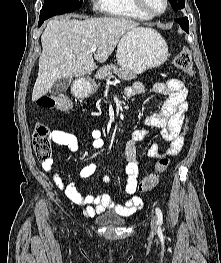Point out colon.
Returning a JSON list of instances; mask_svg holds the SVG:
<instances>
[{
  "instance_id": "colon-1",
  "label": "colon",
  "mask_w": 221,
  "mask_h": 263,
  "mask_svg": "<svg viewBox=\"0 0 221 263\" xmlns=\"http://www.w3.org/2000/svg\"><path fill=\"white\" fill-rule=\"evenodd\" d=\"M173 64L176 68L187 74H192L193 67L190 52L186 49L179 50L174 58ZM37 105L45 109H55L63 112L71 111L72 104L65 95H43L38 98ZM49 128L41 123L36 124L33 134V147L37 157L47 160L50 155ZM170 157L163 156L157 161L154 170L145 176L139 184L141 192H147L154 188L159 181L160 175L168 168Z\"/></svg>"
}]
</instances>
